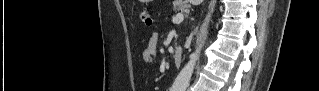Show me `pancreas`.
I'll return each mask as SVG.
<instances>
[{"label": "pancreas", "mask_w": 319, "mask_h": 91, "mask_svg": "<svg viewBox=\"0 0 319 91\" xmlns=\"http://www.w3.org/2000/svg\"><path fill=\"white\" fill-rule=\"evenodd\" d=\"M179 2L178 4L175 3L173 10L175 12L177 11H184V9L187 7L186 1H177ZM183 2V3H182Z\"/></svg>", "instance_id": "cf45deb5"}]
</instances>
